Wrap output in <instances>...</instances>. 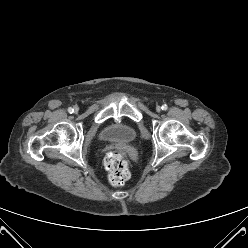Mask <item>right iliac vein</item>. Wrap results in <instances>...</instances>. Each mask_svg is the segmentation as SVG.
<instances>
[{"label": "right iliac vein", "instance_id": "1", "mask_svg": "<svg viewBox=\"0 0 248 248\" xmlns=\"http://www.w3.org/2000/svg\"><path fill=\"white\" fill-rule=\"evenodd\" d=\"M79 111V108L76 106L75 107V112H78Z\"/></svg>", "mask_w": 248, "mask_h": 248}]
</instances>
